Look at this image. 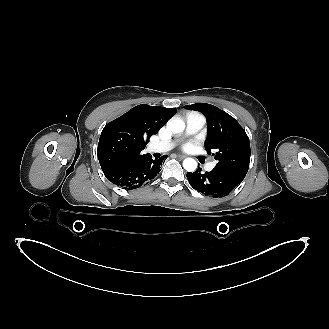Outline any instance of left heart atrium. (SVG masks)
I'll use <instances>...</instances> for the list:
<instances>
[{"mask_svg":"<svg viewBox=\"0 0 329 329\" xmlns=\"http://www.w3.org/2000/svg\"><path fill=\"white\" fill-rule=\"evenodd\" d=\"M194 145H195V142H188V143L184 144L183 147L185 149H189V148L193 147Z\"/></svg>","mask_w":329,"mask_h":329,"instance_id":"obj_1","label":"left heart atrium"}]
</instances>
